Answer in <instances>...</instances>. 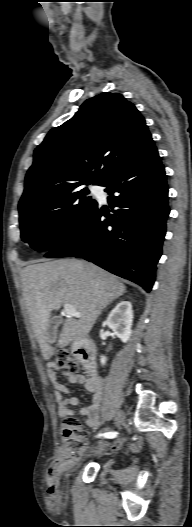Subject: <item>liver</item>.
<instances>
[{"label":"liver","mask_w":192,"mask_h":527,"mask_svg":"<svg viewBox=\"0 0 192 527\" xmlns=\"http://www.w3.org/2000/svg\"><path fill=\"white\" fill-rule=\"evenodd\" d=\"M23 298L42 356L54 354L48 338L51 312L70 304L81 317L65 320L57 346H68L75 337H85L110 302L126 292L114 275L76 259H59L31 264L21 272Z\"/></svg>","instance_id":"6515ba94"}]
</instances>
